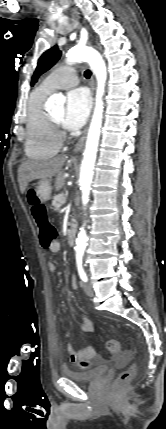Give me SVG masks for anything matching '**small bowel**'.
<instances>
[{
    "label": "small bowel",
    "instance_id": "obj_1",
    "mask_svg": "<svg viewBox=\"0 0 166 429\" xmlns=\"http://www.w3.org/2000/svg\"><path fill=\"white\" fill-rule=\"evenodd\" d=\"M48 248L52 253H57L60 251V243L58 241H54ZM48 269L51 272H55L56 264L54 262H49ZM71 285L74 289L77 288V282L75 277L71 278ZM79 316H80V328L84 332H92L94 330L93 323L82 313H80ZM68 353H69L70 361L82 369H88L92 366L99 364L102 361V357L97 352V349L95 346H85L78 350H75L69 344Z\"/></svg>",
    "mask_w": 166,
    "mask_h": 429
}]
</instances>
